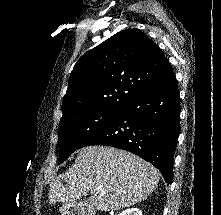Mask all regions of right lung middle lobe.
<instances>
[{"mask_svg":"<svg viewBox=\"0 0 221 215\" xmlns=\"http://www.w3.org/2000/svg\"><path fill=\"white\" fill-rule=\"evenodd\" d=\"M120 111L94 108L63 117L59 126V163L65 161L81 145L116 120Z\"/></svg>","mask_w":221,"mask_h":215,"instance_id":"dd1d6c3e","label":"right lung middle lobe"}]
</instances>
